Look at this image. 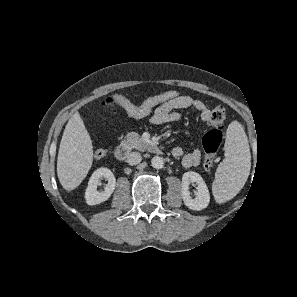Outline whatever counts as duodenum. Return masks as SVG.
Masks as SVG:
<instances>
[{
  "label": "duodenum",
  "instance_id": "obj_1",
  "mask_svg": "<svg viewBox=\"0 0 297 297\" xmlns=\"http://www.w3.org/2000/svg\"><path fill=\"white\" fill-rule=\"evenodd\" d=\"M149 150L156 155L162 154L163 152L162 148L157 145H151L149 147ZM129 153H130V147L127 144H121L117 146L114 150V156L120 162H123L124 160H126Z\"/></svg>",
  "mask_w": 297,
  "mask_h": 297
}]
</instances>
